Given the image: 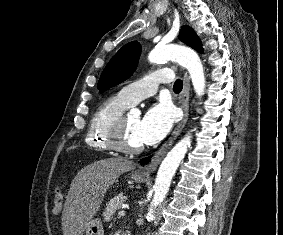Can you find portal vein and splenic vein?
Wrapping results in <instances>:
<instances>
[{"mask_svg":"<svg viewBox=\"0 0 283 235\" xmlns=\"http://www.w3.org/2000/svg\"><path fill=\"white\" fill-rule=\"evenodd\" d=\"M128 208V206H124L121 211L118 212V216H124L126 214L125 209Z\"/></svg>","mask_w":283,"mask_h":235,"instance_id":"obj_1","label":"portal vein and splenic vein"}]
</instances>
